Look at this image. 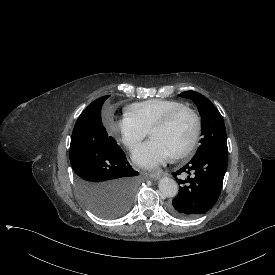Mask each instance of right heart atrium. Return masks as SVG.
Here are the masks:
<instances>
[{
	"label": "right heart atrium",
	"instance_id": "obj_1",
	"mask_svg": "<svg viewBox=\"0 0 275 275\" xmlns=\"http://www.w3.org/2000/svg\"><path fill=\"white\" fill-rule=\"evenodd\" d=\"M113 134L118 136L120 142L131 153L137 151L148 131L132 117L125 115L113 123Z\"/></svg>",
	"mask_w": 275,
	"mask_h": 275
}]
</instances>
